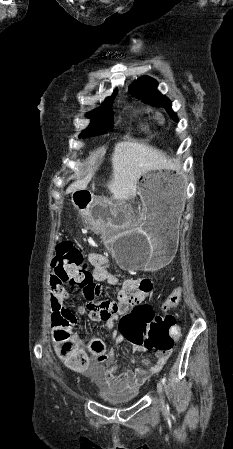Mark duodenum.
Here are the masks:
<instances>
[{"label":"duodenum","mask_w":233,"mask_h":449,"mask_svg":"<svg viewBox=\"0 0 233 449\" xmlns=\"http://www.w3.org/2000/svg\"><path fill=\"white\" fill-rule=\"evenodd\" d=\"M73 204L75 206H86L88 209L93 207V199L90 191H75Z\"/></svg>","instance_id":"410a0bca"}]
</instances>
